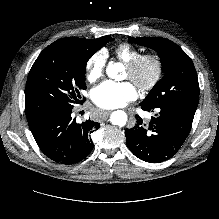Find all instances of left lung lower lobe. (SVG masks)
<instances>
[{
	"mask_svg": "<svg viewBox=\"0 0 219 219\" xmlns=\"http://www.w3.org/2000/svg\"><path fill=\"white\" fill-rule=\"evenodd\" d=\"M199 96H187L160 105L141 103L145 111H158L148 125L136 116L134 128L126 129V143L130 151L146 162L159 163L174 156L187 138Z\"/></svg>",
	"mask_w": 219,
	"mask_h": 219,
	"instance_id": "0a47b994",
	"label": "left lung lower lobe"
}]
</instances>
